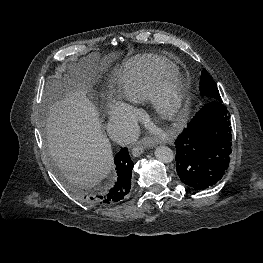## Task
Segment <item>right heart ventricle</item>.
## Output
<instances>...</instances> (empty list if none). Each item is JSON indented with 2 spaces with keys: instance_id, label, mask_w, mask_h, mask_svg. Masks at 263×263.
<instances>
[{
  "instance_id": "1",
  "label": "right heart ventricle",
  "mask_w": 263,
  "mask_h": 263,
  "mask_svg": "<svg viewBox=\"0 0 263 263\" xmlns=\"http://www.w3.org/2000/svg\"><path fill=\"white\" fill-rule=\"evenodd\" d=\"M175 73L176 66L168 60L139 56L126 62L120 69L116 79L118 92L129 103H141L149 98L159 78Z\"/></svg>"
}]
</instances>
